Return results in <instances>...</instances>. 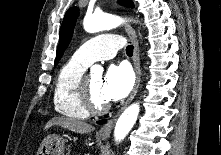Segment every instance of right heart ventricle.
Masks as SVG:
<instances>
[{"label": "right heart ventricle", "mask_w": 221, "mask_h": 155, "mask_svg": "<svg viewBox=\"0 0 221 155\" xmlns=\"http://www.w3.org/2000/svg\"><path fill=\"white\" fill-rule=\"evenodd\" d=\"M88 65L72 57L59 70L54 87L53 103L57 112L75 119H85L89 113L81 104L78 87Z\"/></svg>", "instance_id": "obj_1"}]
</instances>
